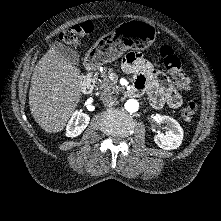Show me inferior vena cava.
<instances>
[{
    "label": "inferior vena cava",
    "mask_w": 221,
    "mask_h": 221,
    "mask_svg": "<svg viewBox=\"0 0 221 221\" xmlns=\"http://www.w3.org/2000/svg\"><path fill=\"white\" fill-rule=\"evenodd\" d=\"M100 99L106 106H112L118 103L117 98L109 93H103Z\"/></svg>",
    "instance_id": "inferior-vena-cava-1"
}]
</instances>
